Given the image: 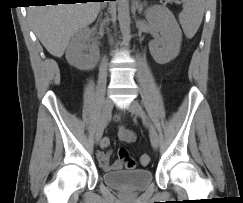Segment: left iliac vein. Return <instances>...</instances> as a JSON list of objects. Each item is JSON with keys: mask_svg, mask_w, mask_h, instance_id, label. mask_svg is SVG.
I'll return each instance as SVG.
<instances>
[{"mask_svg": "<svg viewBox=\"0 0 243 203\" xmlns=\"http://www.w3.org/2000/svg\"><path fill=\"white\" fill-rule=\"evenodd\" d=\"M128 110L146 122V124L149 128V136H150L151 144H152L153 148L156 149L159 144L158 133H157L156 129L154 128V126L147 120L145 112L143 111L140 104L137 101H132L130 103V105L128 106Z\"/></svg>", "mask_w": 243, "mask_h": 203, "instance_id": "obj_1", "label": "left iliac vein"}]
</instances>
